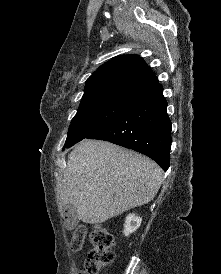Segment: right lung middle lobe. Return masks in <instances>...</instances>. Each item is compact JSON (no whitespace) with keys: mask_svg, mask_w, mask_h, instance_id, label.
Returning a JSON list of instances; mask_svg holds the SVG:
<instances>
[{"mask_svg":"<svg viewBox=\"0 0 221 274\" xmlns=\"http://www.w3.org/2000/svg\"><path fill=\"white\" fill-rule=\"evenodd\" d=\"M132 101L116 97L82 99L79 109L71 121L63 150L101 129Z\"/></svg>","mask_w":221,"mask_h":274,"instance_id":"obj_1","label":"right lung middle lobe"}]
</instances>
